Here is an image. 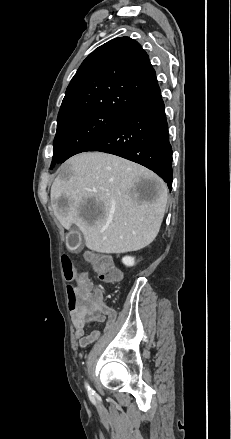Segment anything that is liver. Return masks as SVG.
I'll list each match as a JSON object with an SVG mask.
<instances>
[{"label":"liver","mask_w":231,"mask_h":439,"mask_svg":"<svg viewBox=\"0 0 231 439\" xmlns=\"http://www.w3.org/2000/svg\"><path fill=\"white\" fill-rule=\"evenodd\" d=\"M153 183L143 195L141 179ZM51 207L65 229L75 224L99 253L140 250L156 238L168 190L149 169L116 155L86 152L68 159L51 187Z\"/></svg>","instance_id":"1"}]
</instances>
